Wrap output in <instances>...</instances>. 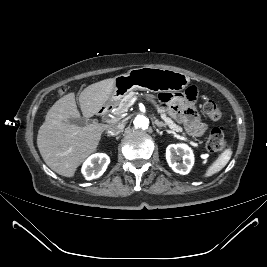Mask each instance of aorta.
<instances>
[{"instance_id":"aorta-1","label":"aorta","mask_w":267,"mask_h":267,"mask_svg":"<svg viewBox=\"0 0 267 267\" xmlns=\"http://www.w3.org/2000/svg\"><path fill=\"white\" fill-rule=\"evenodd\" d=\"M133 124L136 129L145 130L149 127V118L139 114L134 118Z\"/></svg>"}]
</instances>
